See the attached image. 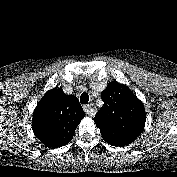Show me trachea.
<instances>
[{
  "label": "trachea",
  "instance_id": "obj_1",
  "mask_svg": "<svg viewBox=\"0 0 177 177\" xmlns=\"http://www.w3.org/2000/svg\"><path fill=\"white\" fill-rule=\"evenodd\" d=\"M89 101V95L87 93H82L80 96L81 104H86Z\"/></svg>",
  "mask_w": 177,
  "mask_h": 177
}]
</instances>
